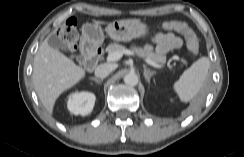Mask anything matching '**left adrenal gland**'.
Masks as SVG:
<instances>
[{"instance_id": "obj_1", "label": "left adrenal gland", "mask_w": 244, "mask_h": 157, "mask_svg": "<svg viewBox=\"0 0 244 157\" xmlns=\"http://www.w3.org/2000/svg\"><path fill=\"white\" fill-rule=\"evenodd\" d=\"M144 68V77L147 80L148 83H150L151 77H153V75L155 74L154 71H150L149 69H147V67L145 65H143Z\"/></svg>"}]
</instances>
